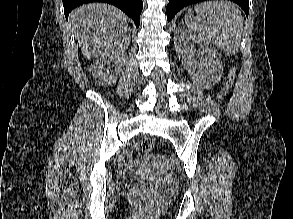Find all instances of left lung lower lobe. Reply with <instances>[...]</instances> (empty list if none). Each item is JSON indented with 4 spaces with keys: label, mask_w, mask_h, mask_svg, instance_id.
<instances>
[{
    "label": "left lung lower lobe",
    "mask_w": 293,
    "mask_h": 219,
    "mask_svg": "<svg viewBox=\"0 0 293 219\" xmlns=\"http://www.w3.org/2000/svg\"><path fill=\"white\" fill-rule=\"evenodd\" d=\"M206 0H169V4L167 5V20L170 21L176 13L181 10L183 7L188 6L190 4L202 2ZM237 3L248 16L249 13V0H231Z\"/></svg>",
    "instance_id": "0a47b994"
}]
</instances>
